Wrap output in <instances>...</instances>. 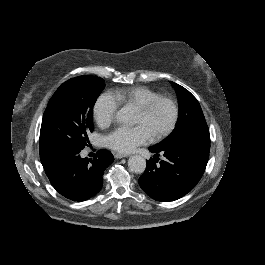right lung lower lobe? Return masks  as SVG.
Instances as JSON below:
<instances>
[{
	"label": "right lung lower lobe",
	"instance_id": "1",
	"mask_svg": "<svg viewBox=\"0 0 265 265\" xmlns=\"http://www.w3.org/2000/svg\"><path fill=\"white\" fill-rule=\"evenodd\" d=\"M113 161L111 152L103 149L93 159L75 154L51 157L42 165L57 192L70 200L84 201L100 191L103 172Z\"/></svg>",
	"mask_w": 265,
	"mask_h": 265
}]
</instances>
